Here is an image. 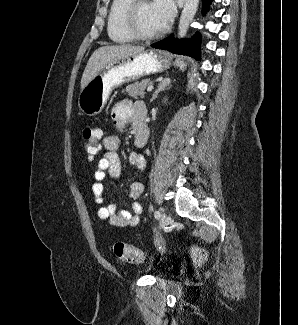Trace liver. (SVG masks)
<instances>
[{
	"label": "liver",
	"mask_w": 298,
	"mask_h": 325,
	"mask_svg": "<svg viewBox=\"0 0 298 325\" xmlns=\"http://www.w3.org/2000/svg\"><path fill=\"white\" fill-rule=\"evenodd\" d=\"M145 46H132V44H113V46H99L92 52L88 62L82 72L80 80V90L85 88L89 80L100 72L104 64L112 62L115 58H126L130 54H138L143 52Z\"/></svg>",
	"instance_id": "1"
}]
</instances>
